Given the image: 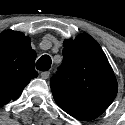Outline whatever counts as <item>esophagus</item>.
Masks as SVG:
<instances>
[{"instance_id": "obj_1", "label": "esophagus", "mask_w": 125, "mask_h": 125, "mask_svg": "<svg viewBox=\"0 0 125 125\" xmlns=\"http://www.w3.org/2000/svg\"><path fill=\"white\" fill-rule=\"evenodd\" d=\"M40 76H41V78H43V79H48L49 76H50V72H49V71L42 72V73L40 74Z\"/></svg>"}]
</instances>
